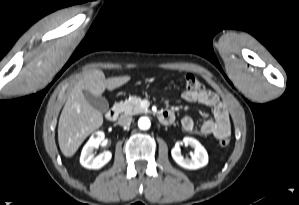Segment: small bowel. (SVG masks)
<instances>
[{"mask_svg": "<svg viewBox=\"0 0 299 205\" xmlns=\"http://www.w3.org/2000/svg\"><path fill=\"white\" fill-rule=\"evenodd\" d=\"M182 98L188 102H196L212 109L213 118L204 121L200 126V133L205 136H213L216 139L228 137L230 134V121L228 112L224 104L220 101L217 94L211 90H203L200 92H193L185 90L182 93ZM163 112H171L168 109ZM172 113V112H171ZM182 128L190 132L195 128V121L185 116L181 120Z\"/></svg>", "mask_w": 299, "mask_h": 205, "instance_id": "small-bowel-1", "label": "small bowel"}]
</instances>
